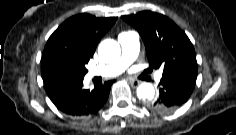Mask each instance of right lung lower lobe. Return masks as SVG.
Masks as SVG:
<instances>
[{
  "mask_svg": "<svg viewBox=\"0 0 236 135\" xmlns=\"http://www.w3.org/2000/svg\"><path fill=\"white\" fill-rule=\"evenodd\" d=\"M42 76L45 90L54 105L73 117L97 113L106 103L111 85L114 83V80H110L89 90L83 87L84 75L45 70Z\"/></svg>",
  "mask_w": 236,
  "mask_h": 135,
  "instance_id": "obj_1",
  "label": "right lung lower lobe"
}]
</instances>
